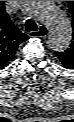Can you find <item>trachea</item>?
I'll return each mask as SVG.
<instances>
[{
	"label": "trachea",
	"mask_w": 74,
	"mask_h": 122,
	"mask_svg": "<svg viewBox=\"0 0 74 122\" xmlns=\"http://www.w3.org/2000/svg\"><path fill=\"white\" fill-rule=\"evenodd\" d=\"M25 29L28 32L37 31L38 26L36 25V23L33 20L28 19V20L25 21Z\"/></svg>",
	"instance_id": "trachea-1"
}]
</instances>
